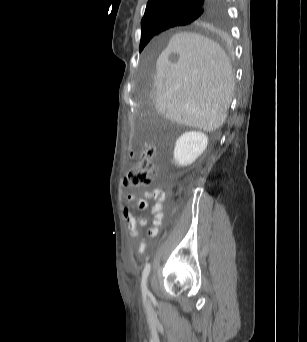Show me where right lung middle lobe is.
Returning a JSON list of instances; mask_svg holds the SVG:
<instances>
[{"mask_svg":"<svg viewBox=\"0 0 307 342\" xmlns=\"http://www.w3.org/2000/svg\"><path fill=\"white\" fill-rule=\"evenodd\" d=\"M201 14L198 9H184L162 13L154 25L142 30L139 51L147 45L150 39L156 34L171 27L187 25L197 19Z\"/></svg>","mask_w":307,"mask_h":342,"instance_id":"right-lung-middle-lobe-1","label":"right lung middle lobe"}]
</instances>
